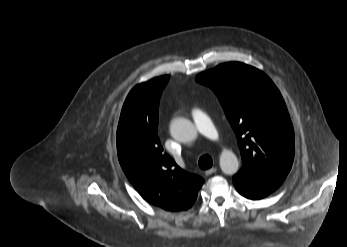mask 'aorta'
Instances as JSON below:
<instances>
[{
    "label": "aorta",
    "instance_id": "obj_1",
    "mask_svg": "<svg viewBox=\"0 0 347 247\" xmlns=\"http://www.w3.org/2000/svg\"><path fill=\"white\" fill-rule=\"evenodd\" d=\"M172 137L180 142L188 143L197 138V130L194 124L185 118H175L170 125ZM220 168L227 175L235 174L239 169V161L230 150H224L220 154Z\"/></svg>",
    "mask_w": 347,
    "mask_h": 247
}]
</instances>
